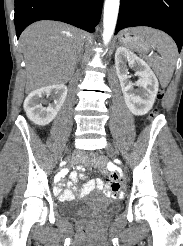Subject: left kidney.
I'll return each mask as SVG.
<instances>
[{
    "label": "left kidney",
    "instance_id": "obj_1",
    "mask_svg": "<svg viewBox=\"0 0 183 246\" xmlns=\"http://www.w3.org/2000/svg\"><path fill=\"white\" fill-rule=\"evenodd\" d=\"M127 63L139 76L135 84L129 81ZM115 68L128 109L136 116L147 114L159 89L158 80L150 66L127 48L118 47L115 53ZM134 86L138 89L134 90Z\"/></svg>",
    "mask_w": 183,
    "mask_h": 246
}]
</instances>
